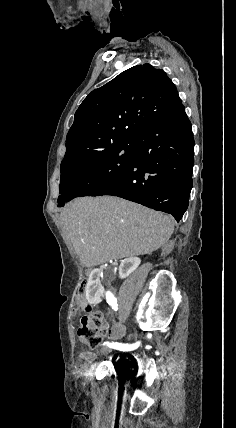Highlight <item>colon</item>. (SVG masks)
<instances>
[{
    "mask_svg": "<svg viewBox=\"0 0 236 428\" xmlns=\"http://www.w3.org/2000/svg\"><path fill=\"white\" fill-rule=\"evenodd\" d=\"M86 287V281H82L78 288L77 310L87 314L80 319L76 335L80 344L97 348L105 338L107 330L103 314L93 310L85 298Z\"/></svg>",
    "mask_w": 236,
    "mask_h": 428,
    "instance_id": "1",
    "label": "colon"
}]
</instances>
